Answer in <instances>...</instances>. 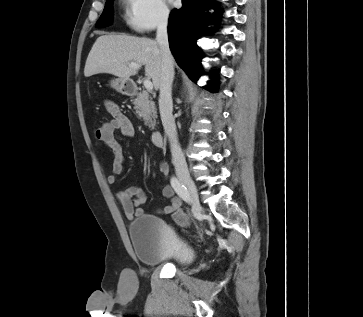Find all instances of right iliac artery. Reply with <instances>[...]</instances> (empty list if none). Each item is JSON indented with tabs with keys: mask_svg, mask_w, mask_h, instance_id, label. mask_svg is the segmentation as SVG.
<instances>
[{
	"mask_svg": "<svg viewBox=\"0 0 363 317\" xmlns=\"http://www.w3.org/2000/svg\"><path fill=\"white\" fill-rule=\"evenodd\" d=\"M171 186L180 198H182L185 202L189 204L192 203L187 188L182 183H180V181L176 177L171 178Z\"/></svg>",
	"mask_w": 363,
	"mask_h": 317,
	"instance_id": "right-iliac-artery-1",
	"label": "right iliac artery"
}]
</instances>
